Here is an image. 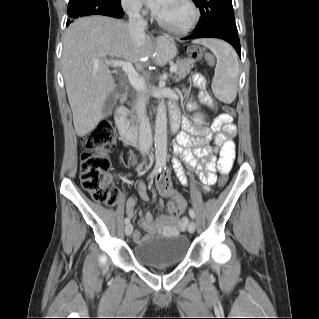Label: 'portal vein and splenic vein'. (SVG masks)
<instances>
[{"label": "portal vein and splenic vein", "instance_id": "18ae733b", "mask_svg": "<svg viewBox=\"0 0 319 319\" xmlns=\"http://www.w3.org/2000/svg\"><path fill=\"white\" fill-rule=\"evenodd\" d=\"M95 64L100 62V59L94 60ZM107 65L112 67H121L122 70L127 74L128 79L131 85L138 91H144L146 89V84L144 81L137 78V73L133 68L132 64L129 61L122 60H105ZM177 69V66L174 64L170 67V72L173 73Z\"/></svg>", "mask_w": 319, "mask_h": 319}]
</instances>
